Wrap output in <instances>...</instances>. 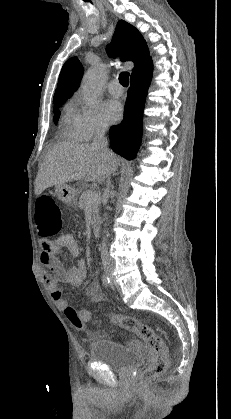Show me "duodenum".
<instances>
[{
  "label": "duodenum",
  "mask_w": 231,
  "mask_h": 419,
  "mask_svg": "<svg viewBox=\"0 0 231 419\" xmlns=\"http://www.w3.org/2000/svg\"><path fill=\"white\" fill-rule=\"evenodd\" d=\"M92 232L95 237H99L100 232H101V225H100L99 220L97 219H95L92 223Z\"/></svg>",
  "instance_id": "410a0bca"
}]
</instances>
